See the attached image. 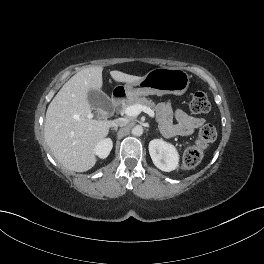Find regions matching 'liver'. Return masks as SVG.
Wrapping results in <instances>:
<instances>
[{
    "mask_svg": "<svg viewBox=\"0 0 264 264\" xmlns=\"http://www.w3.org/2000/svg\"><path fill=\"white\" fill-rule=\"evenodd\" d=\"M101 66L85 68L71 77L48 106L44 138L55 158L67 169L85 172L97 161L95 147L111 127L109 120L92 119L90 90L101 91ZM116 82H136L143 77L111 71ZM90 116V117H89Z\"/></svg>",
    "mask_w": 264,
    "mask_h": 264,
    "instance_id": "liver-1",
    "label": "liver"
}]
</instances>
